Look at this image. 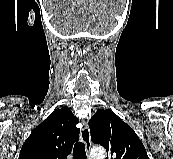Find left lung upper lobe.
Masks as SVG:
<instances>
[{"mask_svg":"<svg viewBox=\"0 0 173 159\" xmlns=\"http://www.w3.org/2000/svg\"><path fill=\"white\" fill-rule=\"evenodd\" d=\"M91 140L104 146L106 159H149L134 130L110 110H98L89 120Z\"/></svg>","mask_w":173,"mask_h":159,"instance_id":"5c2ea615","label":"left lung upper lobe"}]
</instances>
